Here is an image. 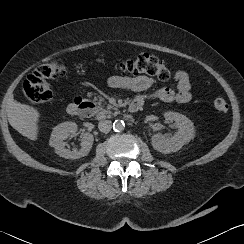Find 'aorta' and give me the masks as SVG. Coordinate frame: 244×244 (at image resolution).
<instances>
[{
	"instance_id": "762f6f07",
	"label": "aorta",
	"mask_w": 244,
	"mask_h": 244,
	"mask_svg": "<svg viewBox=\"0 0 244 244\" xmlns=\"http://www.w3.org/2000/svg\"><path fill=\"white\" fill-rule=\"evenodd\" d=\"M125 127V124L123 121H115L113 128L115 131L119 132L122 131Z\"/></svg>"
}]
</instances>
